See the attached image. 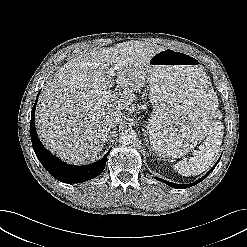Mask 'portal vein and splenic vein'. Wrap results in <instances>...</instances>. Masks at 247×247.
Listing matches in <instances>:
<instances>
[{
    "label": "portal vein and splenic vein",
    "instance_id": "18ae733b",
    "mask_svg": "<svg viewBox=\"0 0 247 247\" xmlns=\"http://www.w3.org/2000/svg\"><path fill=\"white\" fill-rule=\"evenodd\" d=\"M109 74L111 76H114L115 75V69L114 68H110L109 69ZM110 94V90L106 91L103 95V99L106 100L108 98V95Z\"/></svg>",
    "mask_w": 247,
    "mask_h": 247
}]
</instances>
